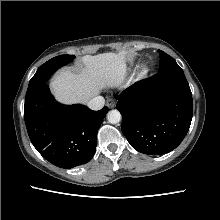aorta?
Wrapping results in <instances>:
<instances>
[{"label":"aorta","mask_w":220,"mask_h":220,"mask_svg":"<svg viewBox=\"0 0 220 220\" xmlns=\"http://www.w3.org/2000/svg\"><path fill=\"white\" fill-rule=\"evenodd\" d=\"M107 120L111 124H117L121 121V114L118 110H111L107 113Z\"/></svg>","instance_id":"762f6f07"}]
</instances>
